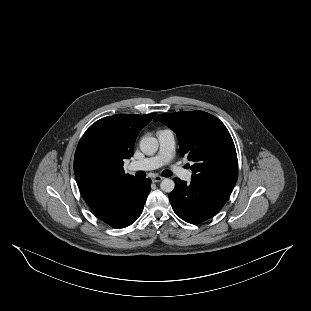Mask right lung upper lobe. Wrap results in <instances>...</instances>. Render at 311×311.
<instances>
[{"label": "right lung upper lobe", "instance_id": "cb5924a9", "mask_svg": "<svg viewBox=\"0 0 311 311\" xmlns=\"http://www.w3.org/2000/svg\"><path fill=\"white\" fill-rule=\"evenodd\" d=\"M155 115L105 117L83 134L75 152L74 173L79 190L91 209L137 180L125 174L124 160L132 157L139 131Z\"/></svg>", "mask_w": 311, "mask_h": 311}]
</instances>
